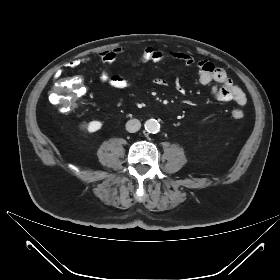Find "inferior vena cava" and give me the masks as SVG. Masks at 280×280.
I'll return each mask as SVG.
<instances>
[{
	"label": "inferior vena cava",
	"mask_w": 280,
	"mask_h": 280,
	"mask_svg": "<svg viewBox=\"0 0 280 280\" xmlns=\"http://www.w3.org/2000/svg\"><path fill=\"white\" fill-rule=\"evenodd\" d=\"M141 127V123L138 119H131L126 123V130L130 133L137 132Z\"/></svg>",
	"instance_id": "inferior-vena-cava-1"
}]
</instances>
